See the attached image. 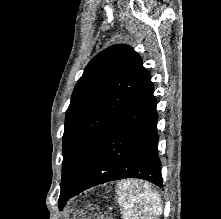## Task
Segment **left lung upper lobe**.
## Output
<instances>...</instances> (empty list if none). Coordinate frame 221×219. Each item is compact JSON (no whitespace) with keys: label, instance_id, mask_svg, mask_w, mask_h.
<instances>
[{"label":"left lung upper lobe","instance_id":"left-lung-upper-lobe-1","mask_svg":"<svg viewBox=\"0 0 221 219\" xmlns=\"http://www.w3.org/2000/svg\"><path fill=\"white\" fill-rule=\"evenodd\" d=\"M149 80L140 56L127 45H113L88 63L66 112L60 208L106 130Z\"/></svg>","mask_w":221,"mask_h":219}]
</instances>
